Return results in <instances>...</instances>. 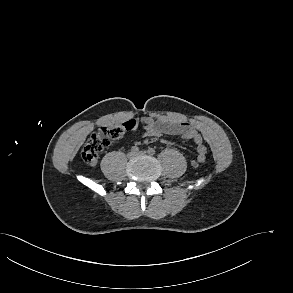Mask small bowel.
Here are the masks:
<instances>
[{
    "label": "small bowel",
    "mask_w": 293,
    "mask_h": 293,
    "mask_svg": "<svg viewBox=\"0 0 293 293\" xmlns=\"http://www.w3.org/2000/svg\"><path fill=\"white\" fill-rule=\"evenodd\" d=\"M147 137H160L163 135H175L186 139H192L197 145L198 156L206 153L202 144L203 137L199 131L189 122L170 121L165 118L142 117L139 121Z\"/></svg>",
    "instance_id": "small-bowel-1"
}]
</instances>
